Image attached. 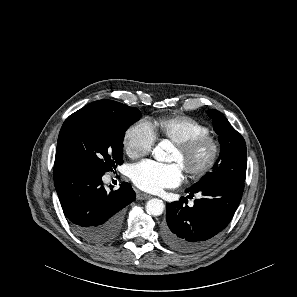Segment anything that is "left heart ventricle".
Masks as SVG:
<instances>
[{
  "mask_svg": "<svg viewBox=\"0 0 297 297\" xmlns=\"http://www.w3.org/2000/svg\"><path fill=\"white\" fill-rule=\"evenodd\" d=\"M209 154L210 148L208 146H204L198 151H196L194 154H192L189 158L184 160L180 151L176 148L171 158V161L181 164L183 168L185 166L191 168H198L201 167L207 161V159L209 158Z\"/></svg>",
  "mask_w": 297,
  "mask_h": 297,
  "instance_id": "b2bd125f",
  "label": "left heart ventricle"
}]
</instances>
